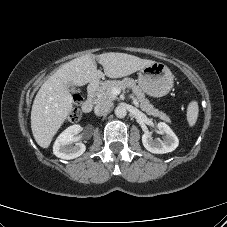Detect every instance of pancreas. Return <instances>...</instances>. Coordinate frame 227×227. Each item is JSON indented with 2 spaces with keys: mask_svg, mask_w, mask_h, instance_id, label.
<instances>
[{
  "mask_svg": "<svg viewBox=\"0 0 227 227\" xmlns=\"http://www.w3.org/2000/svg\"><path fill=\"white\" fill-rule=\"evenodd\" d=\"M114 88L125 89L130 88L137 95L138 100L140 102V108L146 112L148 115H152L154 117H159L161 120L166 121L168 123L171 122L169 116L154 108L150 101L145 97L144 93L141 91L139 86L136 85L135 81L131 78H124L123 80H107L99 86L96 91V100L98 102L108 100L112 101L116 99V95L113 94L112 90Z\"/></svg>",
  "mask_w": 227,
  "mask_h": 227,
  "instance_id": "pancreas-1",
  "label": "pancreas"
}]
</instances>
